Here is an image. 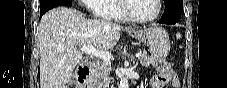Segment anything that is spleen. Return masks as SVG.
Wrapping results in <instances>:
<instances>
[{
  "label": "spleen",
  "instance_id": "obj_1",
  "mask_svg": "<svg viewBox=\"0 0 227 88\" xmlns=\"http://www.w3.org/2000/svg\"><path fill=\"white\" fill-rule=\"evenodd\" d=\"M176 38L177 39H180L181 38V34L178 32V33H176Z\"/></svg>",
  "mask_w": 227,
  "mask_h": 88
}]
</instances>
